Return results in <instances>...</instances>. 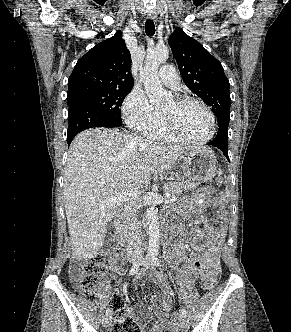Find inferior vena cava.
<instances>
[{"label":"inferior vena cava","mask_w":291,"mask_h":332,"mask_svg":"<svg viewBox=\"0 0 291 332\" xmlns=\"http://www.w3.org/2000/svg\"><path fill=\"white\" fill-rule=\"evenodd\" d=\"M127 252L129 254H141V230L135 208H131L128 214Z\"/></svg>","instance_id":"602c4592"}]
</instances>
